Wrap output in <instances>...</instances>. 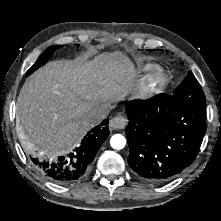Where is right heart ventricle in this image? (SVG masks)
<instances>
[{"label":"right heart ventricle","mask_w":221,"mask_h":221,"mask_svg":"<svg viewBox=\"0 0 221 221\" xmlns=\"http://www.w3.org/2000/svg\"><path fill=\"white\" fill-rule=\"evenodd\" d=\"M154 68L153 64L147 63L143 66L144 71H151Z\"/></svg>","instance_id":"obj_1"}]
</instances>
